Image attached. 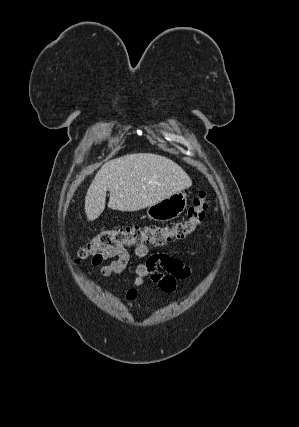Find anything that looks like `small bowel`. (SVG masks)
<instances>
[{
  "instance_id": "small-bowel-1",
  "label": "small bowel",
  "mask_w": 299,
  "mask_h": 427,
  "mask_svg": "<svg viewBox=\"0 0 299 427\" xmlns=\"http://www.w3.org/2000/svg\"><path fill=\"white\" fill-rule=\"evenodd\" d=\"M136 257H148L147 262L134 267L135 278L127 289L125 298L134 301L137 297V288L143 285L146 278L155 283L160 290L171 293L176 289L177 281L188 279L192 274V265L183 262L166 252L150 253L146 245H138L134 249ZM116 259L101 265L100 273L104 277L122 273L130 262V254L126 250L117 253ZM101 262V261H100ZM100 262L94 263L99 265ZM156 298L153 297L154 301Z\"/></svg>"
}]
</instances>
